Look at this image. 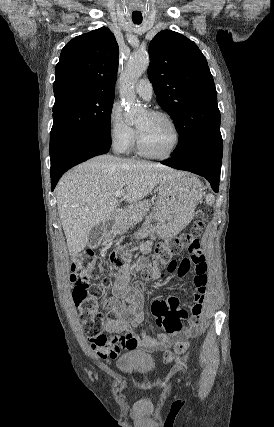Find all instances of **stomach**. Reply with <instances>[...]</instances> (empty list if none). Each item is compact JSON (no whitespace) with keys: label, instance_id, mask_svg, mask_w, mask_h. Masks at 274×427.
Returning a JSON list of instances; mask_svg holds the SVG:
<instances>
[{"label":"stomach","instance_id":"obj_1","mask_svg":"<svg viewBox=\"0 0 274 427\" xmlns=\"http://www.w3.org/2000/svg\"><path fill=\"white\" fill-rule=\"evenodd\" d=\"M193 180L194 176L183 172H178L174 178L162 180L157 188L155 212L146 215L136 235L145 237L147 233L155 231L162 239H170L186 227L202 194V188L199 190L191 186L190 182Z\"/></svg>","mask_w":274,"mask_h":427}]
</instances>
